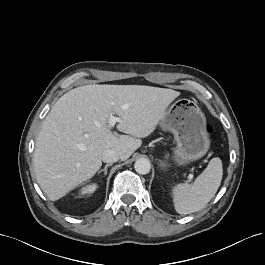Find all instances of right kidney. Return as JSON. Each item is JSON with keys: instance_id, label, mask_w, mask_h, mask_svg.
I'll return each mask as SVG.
<instances>
[{"instance_id": "right-kidney-1", "label": "right kidney", "mask_w": 265, "mask_h": 265, "mask_svg": "<svg viewBox=\"0 0 265 265\" xmlns=\"http://www.w3.org/2000/svg\"><path fill=\"white\" fill-rule=\"evenodd\" d=\"M96 188H97L96 184H90V185H87L81 188L80 193L82 195L87 194V193H93L96 190Z\"/></svg>"}]
</instances>
